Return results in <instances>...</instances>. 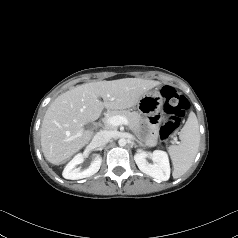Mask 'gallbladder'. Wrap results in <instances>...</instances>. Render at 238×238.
I'll return each mask as SVG.
<instances>
[{"label": "gallbladder", "instance_id": "bac80fb5", "mask_svg": "<svg viewBox=\"0 0 238 238\" xmlns=\"http://www.w3.org/2000/svg\"><path fill=\"white\" fill-rule=\"evenodd\" d=\"M92 124L91 123H88L87 126H91Z\"/></svg>", "mask_w": 238, "mask_h": 238}]
</instances>
